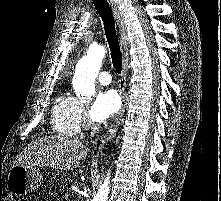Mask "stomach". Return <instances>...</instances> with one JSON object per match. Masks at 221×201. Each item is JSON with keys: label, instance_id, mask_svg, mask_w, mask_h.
Listing matches in <instances>:
<instances>
[{"label": "stomach", "instance_id": "stomach-1", "mask_svg": "<svg viewBox=\"0 0 221 201\" xmlns=\"http://www.w3.org/2000/svg\"><path fill=\"white\" fill-rule=\"evenodd\" d=\"M43 175L32 165H14L6 182L7 190L16 196L34 192L42 184Z\"/></svg>", "mask_w": 221, "mask_h": 201}]
</instances>
